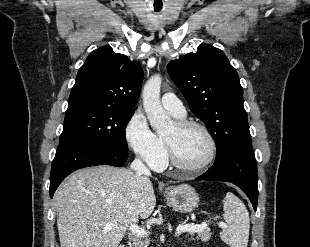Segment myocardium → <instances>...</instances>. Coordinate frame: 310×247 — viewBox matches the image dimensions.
Returning a JSON list of instances; mask_svg holds the SVG:
<instances>
[{
  "instance_id": "obj_1",
  "label": "myocardium",
  "mask_w": 310,
  "mask_h": 247,
  "mask_svg": "<svg viewBox=\"0 0 310 247\" xmlns=\"http://www.w3.org/2000/svg\"><path fill=\"white\" fill-rule=\"evenodd\" d=\"M174 124L178 130H187L190 128L200 129L206 135V137L208 139L209 146H210V152H209L207 159L204 162H202L201 164H199L197 166H187V165L182 164L177 159L172 145L170 144V142L166 138H164V143H165L166 150H167L168 157H169L171 164L174 167H176L177 169L191 173V174H197V173L204 171L206 168H208L214 162V160L216 158V154H217V144H216V141H215L213 134L210 132V130L204 124H202L198 121L182 119V120L175 121Z\"/></svg>"
}]
</instances>
